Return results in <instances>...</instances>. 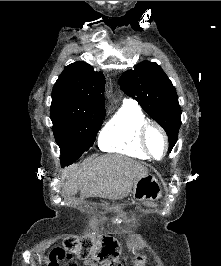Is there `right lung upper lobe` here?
I'll use <instances>...</instances> for the list:
<instances>
[{"label":"right lung upper lobe","mask_w":221,"mask_h":266,"mask_svg":"<svg viewBox=\"0 0 221 266\" xmlns=\"http://www.w3.org/2000/svg\"><path fill=\"white\" fill-rule=\"evenodd\" d=\"M105 77L92 66L79 61L68 65L53 86L52 98L70 100L77 110L89 114L106 113Z\"/></svg>","instance_id":"right-lung-upper-lobe-1"}]
</instances>
